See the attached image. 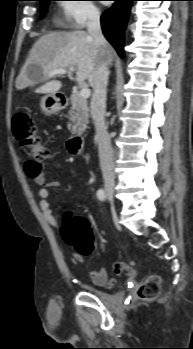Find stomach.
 I'll list each match as a JSON object with an SVG mask.
<instances>
[{
	"mask_svg": "<svg viewBox=\"0 0 193 349\" xmlns=\"http://www.w3.org/2000/svg\"><path fill=\"white\" fill-rule=\"evenodd\" d=\"M41 110L48 115L55 114L61 110L60 99L56 94H47L41 98Z\"/></svg>",
	"mask_w": 193,
	"mask_h": 349,
	"instance_id": "obj_1",
	"label": "stomach"
}]
</instances>
